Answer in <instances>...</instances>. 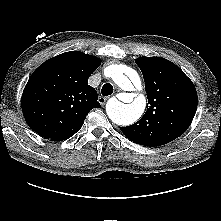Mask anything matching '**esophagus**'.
Instances as JSON below:
<instances>
[{
  "label": "esophagus",
  "mask_w": 221,
  "mask_h": 221,
  "mask_svg": "<svg viewBox=\"0 0 221 221\" xmlns=\"http://www.w3.org/2000/svg\"><path fill=\"white\" fill-rule=\"evenodd\" d=\"M109 97H104V96H100L98 98V101L101 105H104L106 103V101L108 100Z\"/></svg>",
  "instance_id": "1"
}]
</instances>
